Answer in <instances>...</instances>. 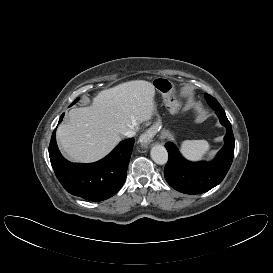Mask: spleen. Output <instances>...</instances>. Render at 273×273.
<instances>
[{
	"label": "spleen",
	"mask_w": 273,
	"mask_h": 273,
	"mask_svg": "<svg viewBox=\"0 0 273 273\" xmlns=\"http://www.w3.org/2000/svg\"><path fill=\"white\" fill-rule=\"evenodd\" d=\"M210 149L206 140H185L181 144V153L191 161L201 160Z\"/></svg>",
	"instance_id": "3e777b00"
}]
</instances>
